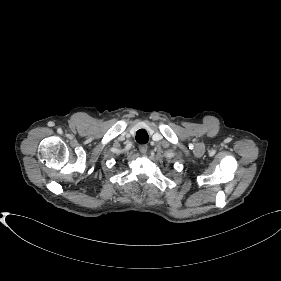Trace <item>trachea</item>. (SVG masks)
<instances>
[{
    "label": "trachea",
    "mask_w": 281,
    "mask_h": 281,
    "mask_svg": "<svg viewBox=\"0 0 281 281\" xmlns=\"http://www.w3.org/2000/svg\"><path fill=\"white\" fill-rule=\"evenodd\" d=\"M148 140H149V136H148V133L146 132V130L140 129V130L137 131L136 141L139 144H145V143L148 142Z\"/></svg>",
    "instance_id": "3493384b"
}]
</instances>
